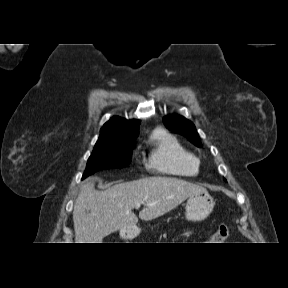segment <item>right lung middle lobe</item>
Wrapping results in <instances>:
<instances>
[{
    "instance_id": "1",
    "label": "right lung middle lobe",
    "mask_w": 288,
    "mask_h": 288,
    "mask_svg": "<svg viewBox=\"0 0 288 288\" xmlns=\"http://www.w3.org/2000/svg\"><path fill=\"white\" fill-rule=\"evenodd\" d=\"M134 145V140L120 136L97 141L88 159L83 178L98 170L127 166Z\"/></svg>"
}]
</instances>
